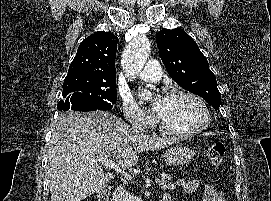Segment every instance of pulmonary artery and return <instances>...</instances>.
<instances>
[{
  "label": "pulmonary artery",
  "mask_w": 271,
  "mask_h": 201,
  "mask_svg": "<svg viewBox=\"0 0 271 201\" xmlns=\"http://www.w3.org/2000/svg\"><path fill=\"white\" fill-rule=\"evenodd\" d=\"M163 75L159 62L155 59L147 61L145 68L139 73V77L148 82H156Z\"/></svg>",
  "instance_id": "e3ab8cb5"
}]
</instances>
